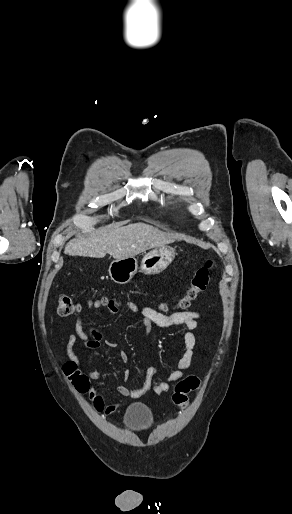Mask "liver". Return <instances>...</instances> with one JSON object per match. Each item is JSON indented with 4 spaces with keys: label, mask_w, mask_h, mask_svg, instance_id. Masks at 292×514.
<instances>
[{
    "label": "liver",
    "mask_w": 292,
    "mask_h": 514,
    "mask_svg": "<svg viewBox=\"0 0 292 514\" xmlns=\"http://www.w3.org/2000/svg\"><path fill=\"white\" fill-rule=\"evenodd\" d=\"M175 234H163L148 224H129L112 232L96 230L89 238L70 240L66 244L64 254L68 256H89V258H105L106 254L115 260H124L137 256L151 248H161L175 240Z\"/></svg>",
    "instance_id": "obj_1"
}]
</instances>
